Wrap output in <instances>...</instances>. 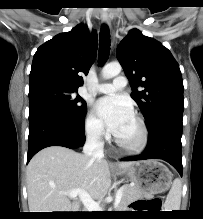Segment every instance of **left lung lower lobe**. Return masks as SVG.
<instances>
[{"label":"left lung lower lobe","instance_id":"left-lung-lower-lobe-1","mask_svg":"<svg viewBox=\"0 0 203 219\" xmlns=\"http://www.w3.org/2000/svg\"><path fill=\"white\" fill-rule=\"evenodd\" d=\"M182 116L174 115L160 120L149 129L148 144L141 155L122 161L163 159L171 164L182 176Z\"/></svg>","mask_w":203,"mask_h":219}]
</instances>
